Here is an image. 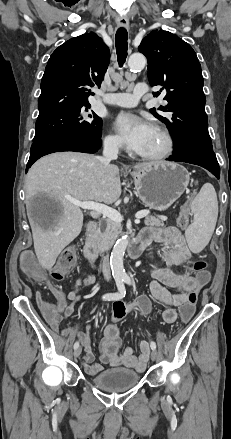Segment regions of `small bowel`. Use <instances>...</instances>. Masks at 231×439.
<instances>
[{
    "instance_id": "obj_1",
    "label": "small bowel",
    "mask_w": 231,
    "mask_h": 439,
    "mask_svg": "<svg viewBox=\"0 0 231 439\" xmlns=\"http://www.w3.org/2000/svg\"><path fill=\"white\" fill-rule=\"evenodd\" d=\"M139 238L147 246L151 243H159L162 247V258L164 266H154L151 269L153 280L149 285L151 295L167 308L162 316L166 323H174L178 318L180 304L185 300L191 287H197L199 282L196 276L190 271L176 273L173 268L182 266L191 256L190 249L182 233L176 227L166 228H147L144 229ZM95 276L87 273L79 277L72 285L68 293L64 294L56 291L58 303L55 305L56 318L48 320L54 331H59V323L63 318L70 317L74 312V305L88 294H79L82 287L94 284ZM173 290V292L170 291ZM127 312H133L142 316L152 312V303L149 297L143 295L130 304L126 305ZM104 328V336L100 343L99 360L102 364L111 367L124 366L136 371H143L149 359V342L143 341L140 344L141 353L135 356L131 347H126L122 351L121 338L117 320ZM89 328V327H88ZM63 335L71 334L70 329L62 330ZM82 344L83 367L90 375H96L103 370L100 363L94 362V354L91 349L90 338L85 333L76 334Z\"/></svg>"
}]
</instances>
